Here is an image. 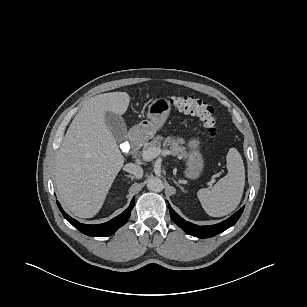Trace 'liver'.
<instances>
[{
  "label": "liver",
  "mask_w": 307,
  "mask_h": 307,
  "mask_svg": "<svg viewBox=\"0 0 307 307\" xmlns=\"http://www.w3.org/2000/svg\"><path fill=\"white\" fill-rule=\"evenodd\" d=\"M129 102L126 92L96 95L86 101L65 134L55 160V185L75 216L91 218L99 212L124 164L105 113L121 116Z\"/></svg>",
  "instance_id": "liver-1"
}]
</instances>
